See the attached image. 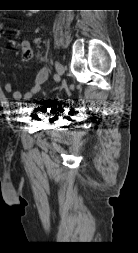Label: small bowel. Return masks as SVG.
Segmentation results:
<instances>
[{
    "instance_id": "c3829d8e",
    "label": "small bowel",
    "mask_w": 138,
    "mask_h": 253,
    "mask_svg": "<svg viewBox=\"0 0 138 253\" xmlns=\"http://www.w3.org/2000/svg\"><path fill=\"white\" fill-rule=\"evenodd\" d=\"M29 50H30L29 44L23 43L21 47V53L24 58H28L26 53ZM0 65H1V60H0ZM48 75H49V72L47 68L45 67L40 68L37 71L35 77L33 78L30 89L25 93L15 90L12 82H6L4 85V90L7 93H10L13 99L16 101H21V100L29 101L30 99L33 98L34 95H36L40 91L42 84L48 79Z\"/></svg>"
}]
</instances>
